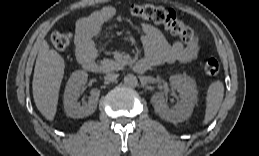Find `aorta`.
<instances>
[{"instance_id": "obj_1", "label": "aorta", "mask_w": 259, "mask_h": 156, "mask_svg": "<svg viewBox=\"0 0 259 156\" xmlns=\"http://www.w3.org/2000/svg\"><path fill=\"white\" fill-rule=\"evenodd\" d=\"M124 84L128 87H136L138 84L137 77L133 74H128L124 77Z\"/></svg>"}]
</instances>
